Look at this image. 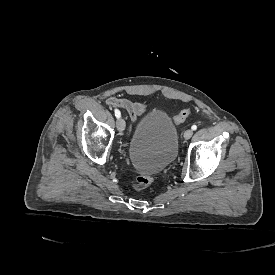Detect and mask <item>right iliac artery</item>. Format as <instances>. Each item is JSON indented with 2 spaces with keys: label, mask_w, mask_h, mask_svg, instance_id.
<instances>
[{
  "label": "right iliac artery",
  "mask_w": 275,
  "mask_h": 275,
  "mask_svg": "<svg viewBox=\"0 0 275 275\" xmlns=\"http://www.w3.org/2000/svg\"><path fill=\"white\" fill-rule=\"evenodd\" d=\"M115 116L119 119L121 117V113L118 109H115Z\"/></svg>",
  "instance_id": "82829eb1"
}]
</instances>
